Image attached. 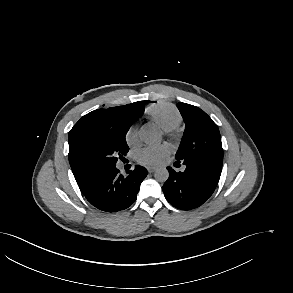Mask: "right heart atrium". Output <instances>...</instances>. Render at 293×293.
Here are the masks:
<instances>
[{"instance_id":"1","label":"right heart atrium","mask_w":293,"mask_h":293,"mask_svg":"<svg viewBox=\"0 0 293 293\" xmlns=\"http://www.w3.org/2000/svg\"><path fill=\"white\" fill-rule=\"evenodd\" d=\"M125 141L128 145L133 146L138 142V130L135 125H131L125 134Z\"/></svg>"}]
</instances>
